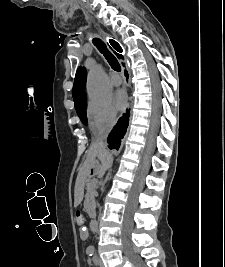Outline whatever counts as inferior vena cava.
<instances>
[{
  "label": "inferior vena cava",
  "mask_w": 225,
  "mask_h": 267,
  "mask_svg": "<svg viewBox=\"0 0 225 267\" xmlns=\"http://www.w3.org/2000/svg\"><path fill=\"white\" fill-rule=\"evenodd\" d=\"M113 124H114V122H111V123H109L104 129H102V130L100 131V133H99V136H98L97 140H96V143H97L100 147H102V148H104V149L106 148L105 141H106V139H107V137H108V134H109V132H110V130H111Z\"/></svg>",
  "instance_id": "inferior-vena-cava-1"
}]
</instances>
